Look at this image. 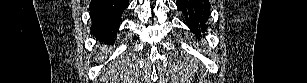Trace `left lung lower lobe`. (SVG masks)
<instances>
[{
	"instance_id": "0a47b994",
	"label": "left lung lower lobe",
	"mask_w": 307,
	"mask_h": 83,
	"mask_svg": "<svg viewBox=\"0 0 307 83\" xmlns=\"http://www.w3.org/2000/svg\"><path fill=\"white\" fill-rule=\"evenodd\" d=\"M176 5L184 14L185 23L191 32L199 35L207 31L210 16V3L207 0H177Z\"/></svg>"
}]
</instances>
